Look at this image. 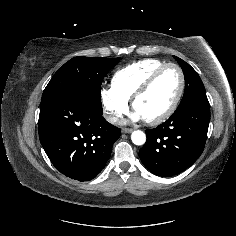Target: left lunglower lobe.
I'll return each mask as SVG.
<instances>
[{
    "label": "left lung lower lobe",
    "instance_id": "obj_1",
    "mask_svg": "<svg viewBox=\"0 0 236 236\" xmlns=\"http://www.w3.org/2000/svg\"><path fill=\"white\" fill-rule=\"evenodd\" d=\"M209 121L207 98L196 99L177 108L166 122L145 131L147 141L139 151L142 163L158 176L181 173L202 154Z\"/></svg>",
    "mask_w": 236,
    "mask_h": 236
}]
</instances>
